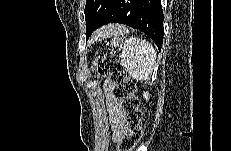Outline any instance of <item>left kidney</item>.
<instances>
[{"label": "left kidney", "mask_w": 231, "mask_h": 151, "mask_svg": "<svg viewBox=\"0 0 231 151\" xmlns=\"http://www.w3.org/2000/svg\"><path fill=\"white\" fill-rule=\"evenodd\" d=\"M143 97L147 100H149L150 94L148 92H143Z\"/></svg>", "instance_id": "left-kidney-1"}]
</instances>
